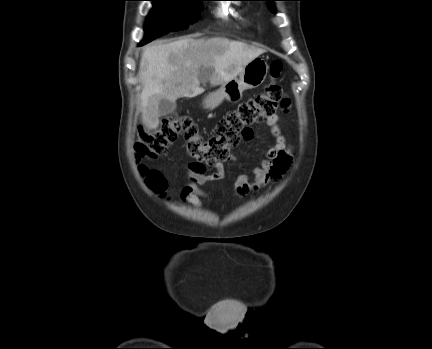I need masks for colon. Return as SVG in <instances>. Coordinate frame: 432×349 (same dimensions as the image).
Listing matches in <instances>:
<instances>
[{
  "label": "colon",
  "instance_id": "obj_1",
  "mask_svg": "<svg viewBox=\"0 0 432 349\" xmlns=\"http://www.w3.org/2000/svg\"><path fill=\"white\" fill-rule=\"evenodd\" d=\"M281 70V62L273 61L270 66L272 81L265 90L241 103L237 109L227 112L207 140L201 137L197 123L187 115L172 114L161 121L158 129L140 130L134 145L137 160L154 159L166 154L179 136H183L189 156L203 166L218 165L228 158L230 149L241 139L251 138L253 124L267 120L275 114L279 105L287 104L282 88L276 81ZM139 170L154 191L163 193L166 190V181L159 172L149 170L144 165H140Z\"/></svg>",
  "mask_w": 432,
  "mask_h": 349
}]
</instances>
